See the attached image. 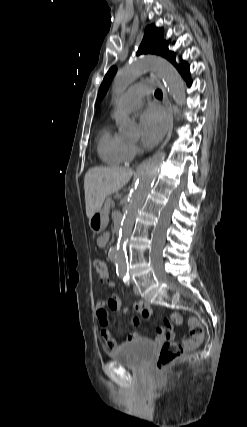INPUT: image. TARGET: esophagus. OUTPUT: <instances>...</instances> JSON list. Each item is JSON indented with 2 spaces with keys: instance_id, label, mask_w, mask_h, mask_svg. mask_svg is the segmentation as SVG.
<instances>
[{
  "instance_id": "34e87169",
  "label": "esophagus",
  "mask_w": 247,
  "mask_h": 427,
  "mask_svg": "<svg viewBox=\"0 0 247 427\" xmlns=\"http://www.w3.org/2000/svg\"><path fill=\"white\" fill-rule=\"evenodd\" d=\"M150 78L152 80H154L158 86L161 88L162 92H163V103L165 104L166 108L169 111V126H168V133L167 136L164 140V142L162 143V145L160 146V149H163L164 146L168 143V141L170 140V137L172 135V131H173V108L172 105L169 101L168 95H167V91L165 89V87L163 86V84L160 82V80L156 77V75L154 73H150ZM151 160V157L143 160L137 167L136 170L137 171H141Z\"/></svg>"
}]
</instances>
